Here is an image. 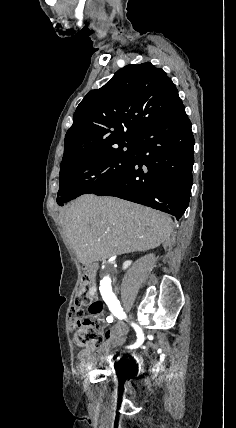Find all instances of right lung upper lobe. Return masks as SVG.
Wrapping results in <instances>:
<instances>
[{
    "mask_svg": "<svg viewBox=\"0 0 236 428\" xmlns=\"http://www.w3.org/2000/svg\"><path fill=\"white\" fill-rule=\"evenodd\" d=\"M182 105L178 91L150 62L120 69L105 86L90 91L78 105L65 136L60 168L96 154L140 132Z\"/></svg>",
    "mask_w": 236,
    "mask_h": 428,
    "instance_id": "obj_1",
    "label": "right lung upper lobe"
}]
</instances>
